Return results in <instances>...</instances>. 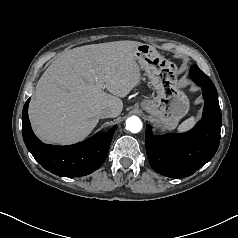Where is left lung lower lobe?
Here are the masks:
<instances>
[{
  "instance_id": "obj_1",
  "label": "left lung lower lobe",
  "mask_w": 238,
  "mask_h": 238,
  "mask_svg": "<svg viewBox=\"0 0 238 238\" xmlns=\"http://www.w3.org/2000/svg\"><path fill=\"white\" fill-rule=\"evenodd\" d=\"M202 88L205 106L202 120L183 134L154 135L146 128V151L152 168L159 174L181 178L192 175L215 155L220 141L221 111L216 88L202 71L190 70Z\"/></svg>"
}]
</instances>
